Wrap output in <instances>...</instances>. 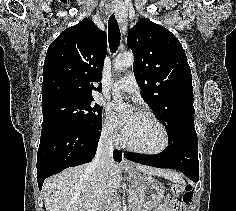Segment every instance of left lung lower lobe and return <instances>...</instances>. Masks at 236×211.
<instances>
[{"mask_svg": "<svg viewBox=\"0 0 236 211\" xmlns=\"http://www.w3.org/2000/svg\"><path fill=\"white\" fill-rule=\"evenodd\" d=\"M125 158L133 162L158 168H174L183 172L194 182L198 181V146L195 144L172 143L167 150L157 155L125 153Z\"/></svg>", "mask_w": 236, "mask_h": 211, "instance_id": "left-lung-lower-lobe-1", "label": "left lung lower lobe"}]
</instances>
